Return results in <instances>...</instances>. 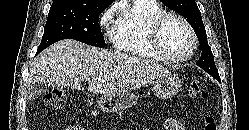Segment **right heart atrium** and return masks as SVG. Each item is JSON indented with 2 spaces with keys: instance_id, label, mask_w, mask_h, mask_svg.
<instances>
[{
  "instance_id": "obj_1",
  "label": "right heart atrium",
  "mask_w": 249,
  "mask_h": 130,
  "mask_svg": "<svg viewBox=\"0 0 249 130\" xmlns=\"http://www.w3.org/2000/svg\"><path fill=\"white\" fill-rule=\"evenodd\" d=\"M116 10H117L116 5H112L109 8H107L100 16L99 24L101 26H106L110 22V20L113 18Z\"/></svg>"
}]
</instances>
